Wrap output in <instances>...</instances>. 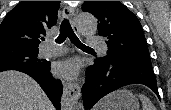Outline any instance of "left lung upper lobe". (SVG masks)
<instances>
[{
    "label": "left lung upper lobe",
    "instance_id": "obj_1",
    "mask_svg": "<svg viewBox=\"0 0 171 110\" xmlns=\"http://www.w3.org/2000/svg\"><path fill=\"white\" fill-rule=\"evenodd\" d=\"M82 10L98 18V34L108 45L107 56L97 61L106 63L117 59L151 64L142 26L135 14L121 2L85 1Z\"/></svg>",
    "mask_w": 171,
    "mask_h": 110
}]
</instances>
